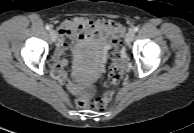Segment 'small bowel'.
I'll list each match as a JSON object with an SVG mask.
<instances>
[{
  "label": "small bowel",
  "mask_w": 194,
  "mask_h": 133,
  "mask_svg": "<svg viewBox=\"0 0 194 133\" xmlns=\"http://www.w3.org/2000/svg\"><path fill=\"white\" fill-rule=\"evenodd\" d=\"M123 34V27L103 18L89 19L86 17L68 18L59 25V39L53 57L52 66L58 76L66 83L67 88L73 94L80 91V87L69 79L65 66L67 60L64 58L71 45L66 42L69 39L73 46L82 42L95 39L108 48V42L119 38Z\"/></svg>",
  "instance_id": "small-bowel-1"
}]
</instances>
